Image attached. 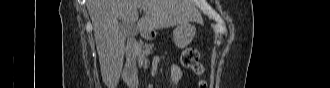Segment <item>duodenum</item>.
Wrapping results in <instances>:
<instances>
[{"mask_svg":"<svg viewBox=\"0 0 330 88\" xmlns=\"http://www.w3.org/2000/svg\"><path fill=\"white\" fill-rule=\"evenodd\" d=\"M143 37L146 39L148 36L144 35ZM140 46H141L140 41L132 38L127 41L125 47L127 63L124 69V76L125 78L130 76L128 83L131 84L132 87H135L138 83V77L136 74V66H135V57H136V52L140 48Z\"/></svg>","mask_w":330,"mask_h":88,"instance_id":"obj_1","label":"duodenum"}]
</instances>
